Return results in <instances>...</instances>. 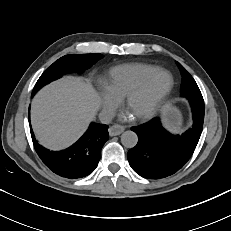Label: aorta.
<instances>
[{"label":"aorta","mask_w":231,"mask_h":231,"mask_svg":"<svg viewBox=\"0 0 231 231\" xmlns=\"http://www.w3.org/2000/svg\"><path fill=\"white\" fill-rule=\"evenodd\" d=\"M138 142V136L135 132L128 130L122 133L121 143L127 148H133Z\"/></svg>","instance_id":"obj_1"}]
</instances>
